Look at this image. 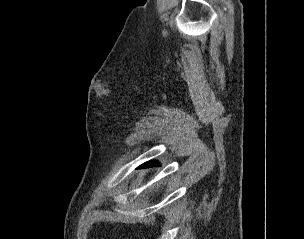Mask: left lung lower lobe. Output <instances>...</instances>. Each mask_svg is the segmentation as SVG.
<instances>
[{
  "label": "left lung lower lobe",
  "instance_id": "obj_1",
  "mask_svg": "<svg viewBox=\"0 0 304 239\" xmlns=\"http://www.w3.org/2000/svg\"><path fill=\"white\" fill-rule=\"evenodd\" d=\"M157 165H159L157 161H149V162H146L143 165H141L139 168H146V167L157 166Z\"/></svg>",
  "mask_w": 304,
  "mask_h": 239
}]
</instances>
